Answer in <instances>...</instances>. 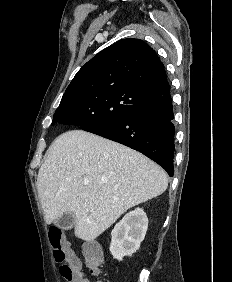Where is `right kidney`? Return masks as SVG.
<instances>
[{
  "label": "right kidney",
  "mask_w": 232,
  "mask_h": 282,
  "mask_svg": "<svg viewBox=\"0 0 232 282\" xmlns=\"http://www.w3.org/2000/svg\"><path fill=\"white\" fill-rule=\"evenodd\" d=\"M148 228V218L142 208L127 213L111 232L110 252L121 261L124 256L135 253L144 240Z\"/></svg>",
  "instance_id": "1"
}]
</instances>
